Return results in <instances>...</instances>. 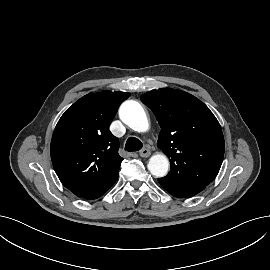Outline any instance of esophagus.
<instances>
[{"label":"esophagus","mask_w":270,"mask_h":270,"mask_svg":"<svg viewBox=\"0 0 270 270\" xmlns=\"http://www.w3.org/2000/svg\"><path fill=\"white\" fill-rule=\"evenodd\" d=\"M151 154V151L148 147L143 148L142 150L139 151V155L143 158L149 157Z\"/></svg>","instance_id":"1"}]
</instances>
